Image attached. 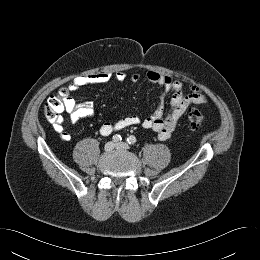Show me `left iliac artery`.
Here are the masks:
<instances>
[{
  "label": "left iliac artery",
  "instance_id": "left-iliac-artery-1",
  "mask_svg": "<svg viewBox=\"0 0 260 260\" xmlns=\"http://www.w3.org/2000/svg\"><path fill=\"white\" fill-rule=\"evenodd\" d=\"M126 141H127V143H129L130 145H133V144L136 143V137L133 136V135H131V136H129V137L127 138Z\"/></svg>",
  "mask_w": 260,
  "mask_h": 260
}]
</instances>
